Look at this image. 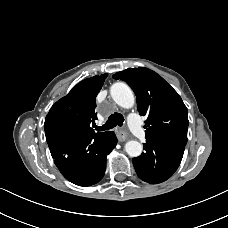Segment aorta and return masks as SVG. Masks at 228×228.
I'll list each match as a JSON object with an SVG mask.
<instances>
[{"label":"aorta","mask_w":228,"mask_h":228,"mask_svg":"<svg viewBox=\"0 0 228 228\" xmlns=\"http://www.w3.org/2000/svg\"><path fill=\"white\" fill-rule=\"evenodd\" d=\"M112 99L122 108L129 109L135 103L134 94L131 88L124 82L114 83L110 88ZM143 150L142 145L137 141H128L125 144V151L130 157H138Z\"/></svg>","instance_id":"obj_1"}]
</instances>
